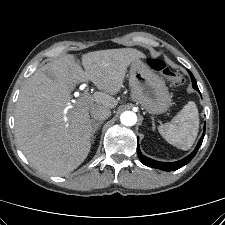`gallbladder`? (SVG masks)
<instances>
[{
	"label": "gallbladder",
	"instance_id": "obj_1",
	"mask_svg": "<svg viewBox=\"0 0 225 225\" xmlns=\"http://www.w3.org/2000/svg\"><path fill=\"white\" fill-rule=\"evenodd\" d=\"M46 75H47L49 78H51V79L55 80V77H54L52 74H50V73L46 72Z\"/></svg>",
	"mask_w": 225,
	"mask_h": 225
}]
</instances>
